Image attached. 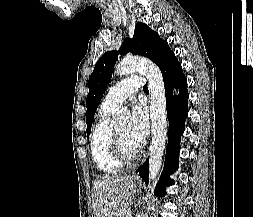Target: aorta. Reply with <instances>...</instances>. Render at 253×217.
Returning <instances> with one entry per match:
<instances>
[{
  "label": "aorta",
  "instance_id": "obj_1",
  "mask_svg": "<svg viewBox=\"0 0 253 217\" xmlns=\"http://www.w3.org/2000/svg\"><path fill=\"white\" fill-rule=\"evenodd\" d=\"M139 72L149 81L150 113L152 121V141L149 156V187L153 190L162 166L164 149L167 140L166 97L162 73L159 67L148 59L124 58L115 69L117 76ZM129 111L121 109L115 121L125 124Z\"/></svg>",
  "mask_w": 253,
  "mask_h": 217
}]
</instances>
